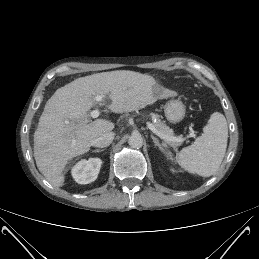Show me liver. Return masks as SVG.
I'll list each match as a JSON object with an SVG mask.
<instances>
[{"mask_svg": "<svg viewBox=\"0 0 259 259\" xmlns=\"http://www.w3.org/2000/svg\"><path fill=\"white\" fill-rule=\"evenodd\" d=\"M158 92L152 76L127 70L81 77L57 89L47 101L34 133V158L39 171L53 186H63L68 161L88 152L92 140L114 128L106 119L90 122L88 111L97 104L96 95L108 96V108L123 113L177 95L164 90L158 96Z\"/></svg>", "mask_w": 259, "mask_h": 259, "instance_id": "1", "label": "liver"}]
</instances>
